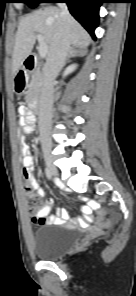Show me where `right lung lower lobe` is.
I'll list each match as a JSON object with an SVG mask.
<instances>
[{
  "label": "right lung lower lobe",
  "mask_w": 136,
  "mask_h": 296,
  "mask_svg": "<svg viewBox=\"0 0 136 296\" xmlns=\"http://www.w3.org/2000/svg\"><path fill=\"white\" fill-rule=\"evenodd\" d=\"M67 3L70 13L96 39L94 30L99 22V7L103 0H47V3Z\"/></svg>",
  "instance_id": "98d812e1"
}]
</instances>
